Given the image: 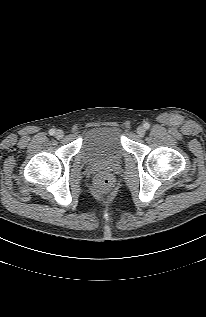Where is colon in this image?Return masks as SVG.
<instances>
[{
	"mask_svg": "<svg viewBox=\"0 0 206 317\" xmlns=\"http://www.w3.org/2000/svg\"><path fill=\"white\" fill-rule=\"evenodd\" d=\"M113 187V179L110 176H99L95 181V190L99 194H107Z\"/></svg>",
	"mask_w": 206,
	"mask_h": 317,
	"instance_id": "obj_1",
	"label": "colon"
}]
</instances>
